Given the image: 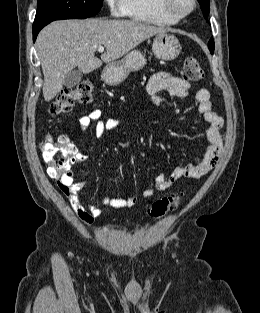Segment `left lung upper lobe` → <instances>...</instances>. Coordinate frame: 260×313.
I'll return each instance as SVG.
<instances>
[{
  "mask_svg": "<svg viewBox=\"0 0 260 313\" xmlns=\"http://www.w3.org/2000/svg\"><path fill=\"white\" fill-rule=\"evenodd\" d=\"M201 7H202V11H203V15L205 18L208 17L209 15V11H210V2L209 0H198ZM208 48L210 50L211 53L214 52V41L213 38L210 39V41L208 42Z\"/></svg>",
  "mask_w": 260,
  "mask_h": 313,
  "instance_id": "1",
  "label": "left lung upper lobe"
}]
</instances>
